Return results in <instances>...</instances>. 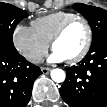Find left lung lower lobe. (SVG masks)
I'll use <instances>...</instances> for the list:
<instances>
[{"label": "left lung lower lobe", "instance_id": "left-lung-lower-lobe-1", "mask_svg": "<svg viewBox=\"0 0 107 107\" xmlns=\"http://www.w3.org/2000/svg\"><path fill=\"white\" fill-rule=\"evenodd\" d=\"M60 94L70 107L107 105V38L93 43L77 66L66 68Z\"/></svg>", "mask_w": 107, "mask_h": 107}]
</instances>
